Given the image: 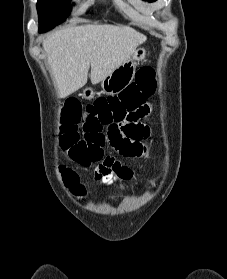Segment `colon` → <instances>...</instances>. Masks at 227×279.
<instances>
[{"label": "colon", "instance_id": "1", "mask_svg": "<svg viewBox=\"0 0 227 279\" xmlns=\"http://www.w3.org/2000/svg\"><path fill=\"white\" fill-rule=\"evenodd\" d=\"M154 78L152 68H142L136 73V83L125 88L119 96L98 98L84 111L78 101L68 102L59 135L70 159L84 167L100 160L107 138L115 139L120 130L133 141L128 149L129 157H141L146 151L141 141L147 138L149 129L140 125L139 121L150 113V106L145 100L155 93ZM81 122L82 137L78 132ZM104 127H107L108 136L103 131ZM66 183L73 190L80 188L73 171H66Z\"/></svg>", "mask_w": 227, "mask_h": 279}]
</instances>
